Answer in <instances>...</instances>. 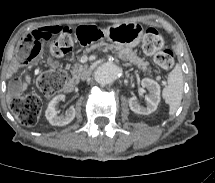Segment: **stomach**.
Segmentation results:
<instances>
[{"label": "stomach", "mask_w": 215, "mask_h": 183, "mask_svg": "<svg viewBox=\"0 0 215 183\" xmlns=\"http://www.w3.org/2000/svg\"><path fill=\"white\" fill-rule=\"evenodd\" d=\"M100 31L114 45L128 48L136 47L144 33L143 27L137 23L114 24Z\"/></svg>", "instance_id": "stomach-1"}]
</instances>
